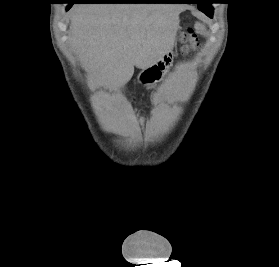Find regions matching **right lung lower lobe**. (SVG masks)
Returning a JSON list of instances; mask_svg holds the SVG:
<instances>
[{
  "mask_svg": "<svg viewBox=\"0 0 279 267\" xmlns=\"http://www.w3.org/2000/svg\"><path fill=\"white\" fill-rule=\"evenodd\" d=\"M147 1L149 2V0H137V1H133V2H124V1H120V0H70L68 2V3H70V5H68L67 10L70 9L72 4H74V3H145ZM161 2H163V1L156 0L152 3H161Z\"/></svg>",
  "mask_w": 279,
  "mask_h": 267,
  "instance_id": "1",
  "label": "right lung lower lobe"
}]
</instances>
